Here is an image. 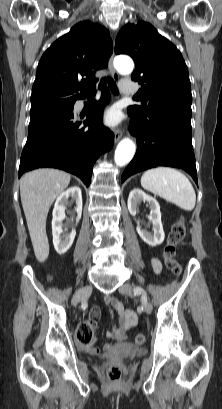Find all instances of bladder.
Instances as JSON below:
<instances>
[{"mask_svg": "<svg viewBox=\"0 0 222 409\" xmlns=\"http://www.w3.org/2000/svg\"><path fill=\"white\" fill-rule=\"evenodd\" d=\"M145 354V349L132 346L129 344H123L114 348L108 355V357H122V358H131L139 355Z\"/></svg>", "mask_w": 222, "mask_h": 409, "instance_id": "bladder-1", "label": "bladder"}]
</instances>
